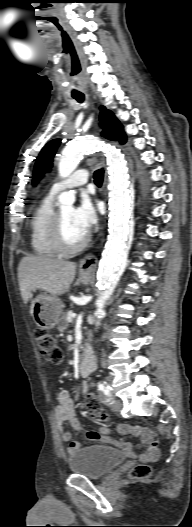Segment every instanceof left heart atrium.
<instances>
[{"mask_svg":"<svg viewBox=\"0 0 192 527\" xmlns=\"http://www.w3.org/2000/svg\"><path fill=\"white\" fill-rule=\"evenodd\" d=\"M74 219L78 227L88 234L95 225L97 215L94 206L88 199H84L81 204L74 209Z\"/></svg>","mask_w":192,"mask_h":527,"instance_id":"39dd6f15","label":"left heart atrium"}]
</instances>
